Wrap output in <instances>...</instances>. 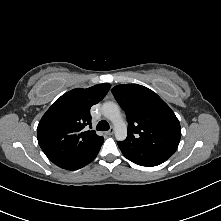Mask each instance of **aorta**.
<instances>
[{
	"label": "aorta",
	"mask_w": 221,
	"mask_h": 221,
	"mask_svg": "<svg viewBox=\"0 0 221 221\" xmlns=\"http://www.w3.org/2000/svg\"><path fill=\"white\" fill-rule=\"evenodd\" d=\"M103 115L114 125L115 137L118 141H123L127 137V126L121 116L118 105L114 102H105L102 105Z\"/></svg>",
	"instance_id": "obj_1"
}]
</instances>
